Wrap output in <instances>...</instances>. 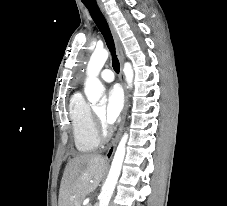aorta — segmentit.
Returning <instances> with one entry per match:
<instances>
[{"label": "aorta", "mask_w": 227, "mask_h": 206, "mask_svg": "<svg viewBox=\"0 0 227 206\" xmlns=\"http://www.w3.org/2000/svg\"><path fill=\"white\" fill-rule=\"evenodd\" d=\"M109 56L108 51L106 50H95L90 58V61L87 65V78L85 81V95L89 102L96 103L100 101L104 102L105 94L104 87L99 80L98 76L103 68L105 62L107 61ZM123 72L126 78V82L128 87H132L133 82V69L130 63H125ZM128 139V134L125 133L121 138L119 145L116 149L111 168L107 179L103 185L102 192L100 194L99 206H108L115 186L117 184L118 178L120 176L124 156H125V146Z\"/></svg>", "instance_id": "762f6f07"}]
</instances>
